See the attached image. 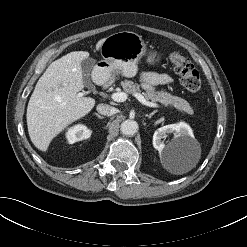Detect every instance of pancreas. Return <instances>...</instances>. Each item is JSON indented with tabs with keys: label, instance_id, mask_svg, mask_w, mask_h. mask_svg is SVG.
Returning a JSON list of instances; mask_svg holds the SVG:
<instances>
[{
	"label": "pancreas",
	"instance_id": "cf45deb5",
	"mask_svg": "<svg viewBox=\"0 0 247 247\" xmlns=\"http://www.w3.org/2000/svg\"><path fill=\"white\" fill-rule=\"evenodd\" d=\"M121 86L127 93H141L140 85L134 83L133 81L124 80L121 82ZM142 94L145 96L146 99L151 100L152 102H160L165 106L175 107L177 110L188 113L190 115L194 113L192 107L186 100L178 96L171 95L164 90L142 92Z\"/></svg>",
	"mask_w": 247,
	"mask_h": 247
}]
</instances>
